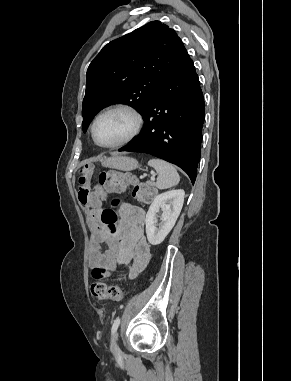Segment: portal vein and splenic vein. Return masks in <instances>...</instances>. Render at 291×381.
I'll list each match as a JSON object with an SVG mask.
<instances>
[{"label":"portal vein and splenic vein","mask_w":291,"mask_h":381,"mask_svg":"<svg viewBox=\"0 0 291 381\" xmlns=\"http://www.w3.org/2000/svg\"><path fill=\"white\" fill-rule=\"evenodd\" d=\"M151 180H155V175H152V176H151Z\"/></svg>","instance_id":"obj_1"}]
</instances>
